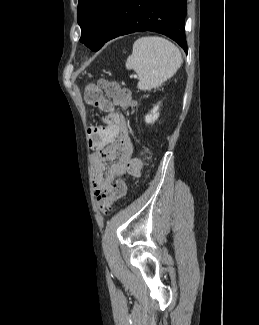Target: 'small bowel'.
Here are the masks:
<instances>
[{
  "label": "small bowel",
  "mask_w": 259,
  "mask_h": 325,
  "mask_svg": "<svg viewBox=\"0 0 259 325\" xmlns=\"http://www.w3.org/2000/svg\"><path fill=\"white\" fill-rule=\"evenodd\" d=\"M103 110L110 112L112 123L105 128L98 127L100 141L90 142L94 150L93 186L96 195L111 193L118 177L138 178L142 170V161L135 155L125 117L111 104Z\"/></svg>",
  "instance_id": "obj_1"
}]
</instances>
